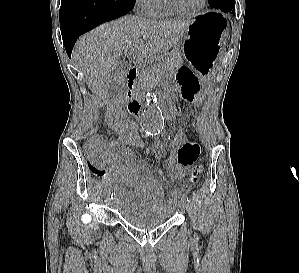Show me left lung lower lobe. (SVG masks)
<instances>
[{"label": "left lung lower lobe", "instance_id": "0a47b994", "mask_svg": "<svg viewBox=\"0 0 299 273\" xmlns=\"http://www.w3.org/2000/svg\"><path fill=\"white\" fill-rule=\"evenodd\" d=\"M211 6L215 9L235 14V0H216Z\"/></svg>", "mask_w": 299, "mask_h": 273}]
</instances>
